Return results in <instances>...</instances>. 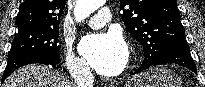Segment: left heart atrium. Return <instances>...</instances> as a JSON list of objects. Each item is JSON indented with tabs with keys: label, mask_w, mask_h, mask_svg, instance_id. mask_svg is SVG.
<instances>
[{
	"label": "left heart atrium",
	"mask_w": 205,
	"mask_h": 87,
	"mask_svg": "<svg viewBox=\"0 0 205 87\" xmlns=\"http://www.w3.org/2000/svg\"><path fill=\"white\" fill-rule=\"evenodd\" d=\"M80 52L98 73L105 76L119 74L128 56L126 43L117 32L84 37Z\"/></svg>",
	"instance_id": "1"
}]
</instances>
